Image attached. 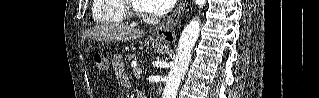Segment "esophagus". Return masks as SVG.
<instances>
[{"label": "esophagus", "instance_id": "esophagus-1", "mask_svg": "<svg viewBox=\"0 0 319 98\" xmlns=\"http://www.w3.org/2000/svg\"><path fill=\"white\" fill-rule=\"evenodd\" d=\"M186 1H180L167 18H165L153 31L152 36L167 44L173 43L176 40L174 28L180 22L185 11Z\"/></svg>", "mask_w": 319, "mask_h": 98}]
</instances>
